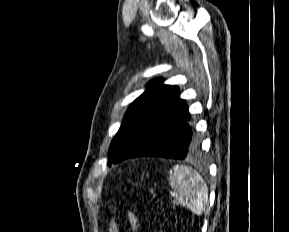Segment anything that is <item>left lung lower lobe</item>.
Listing matches in <instances>:
<instances>
[{"label": "left lung lower lobe", "mask_w": 289, "mask_h": 232, "mask_svg": "<svg viewBox=\"0 0 289 232\" xmlns=\"http://www.w3.org/2000/svg\"><path fill=\"white\" fill-rule=\"evenodd\" d=\"M189 119L185 103L172 121L159 129L127 158L156 156L182 160L194 155L199 148L200 140L194 128L187 122Z\"/></svg>", "instance_id": "obj_1"}]
</instances>
